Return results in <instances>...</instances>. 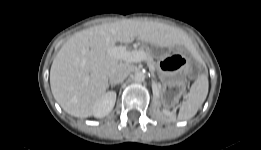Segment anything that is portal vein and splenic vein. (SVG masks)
Returning <instances> with one entry per match:
<instances>
[{"label": "portal vein and splenic vein", "instance_id": "obj_1", "mask_svg": "<svg viewBox=\"0 0 261 150\" xmlns=\"http://www.w3.org/2000/svg\"><path fill=\"white\" fill-rule=\"evenodd\" d=\"M107 53L114 58L126 62H141L147 60V54L141 50L128 51L125 46H114L107 50Z\"/></svg>", "mask_w": 261, "mask_h": 150}]
</instances>
